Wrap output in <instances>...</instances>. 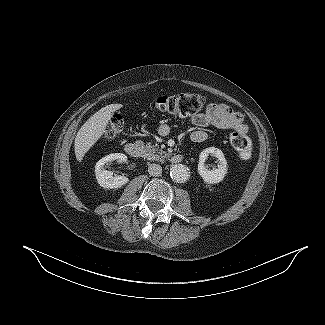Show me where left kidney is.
<instances>
[{
	"mask_svg": "<svg viewBox=\"0 0 325 325\" xmlns=\"http://www.w3.org/2000/svg\"><path fill=\"white\" fill-rule=\"evenodd\" d=\"M209 155L218 159L216 169L210 170L205 165V161ZM198 173L207 184H218L223 181L227 174V160L225 159L223 152L215 147L204 149L199 155Z\"/></svg>",
	"mask_w": 325,
	"mask_h": 325,
	"instance_id": "obj_1",
	"label": "left kidney"
}]
</instances>
